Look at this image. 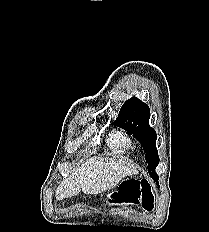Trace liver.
<instances>
[{"label": "liver", "instance_id": "6515ba94", "mask_svg": "<svg viewBox=\"0 0 209 232\" xmlns=\"http://www.w3.org/2000/svg\"><path fill=\"white\" fill-rule=\"evenodd\" d=\"M137 166L122 158H90L76 167L70 177L57 188V200L73 197L81 191L86 194L106 192L126 176L136 174Z\"/></svg>", "mask_w": 209, "mask_h": 232}]
</instances>
